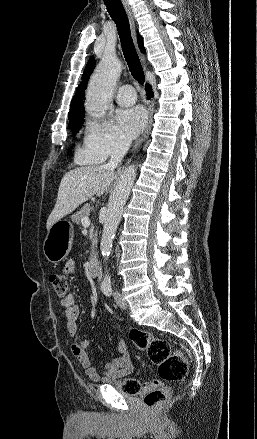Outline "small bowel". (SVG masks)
Returning <instances> with one entry per match:
<instances>
[{"label":"small bowel","mask_w":257,"mask_h":439,"mask_svg":"<svg viewBox=\"0 0 257 439\" xmlns=\"http://www.w3.org/2000/svg\"><path fill=\"white\" fill-rule=\"evenodd\" d=\"M74 271L75 263L72 260L67 261L62 269L63 275H71L74 273ZM61 304L65 308V319L68 335L74 339L72 351L84 368L89 379L104 383H114L133 372L134 366L126 342L124 340H120L116 347L118 356L112 361L106 363L102 369V372L98 373L87 353L89 341L77 338V320L80 310L76 304L74 295L69 294L61 301Z\"/></svg>","instance_id":"c3829d8e"}]
</instances>
